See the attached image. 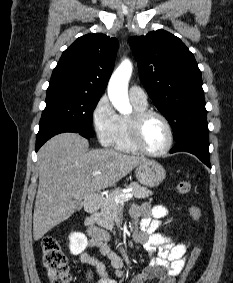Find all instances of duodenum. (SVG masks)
Segmentation results:
<instances>
[{
    "instance_id": "duodenum-1",
    "label": "duodenum",
    "mask_w": 233,
    "mask_h": 283,
    "mask_svg": "<svg viewBox=\"0 0 233 283\" xmlns=\"http://www.w3.org/2000/svg\"><path fill=\"white\" fill-rule=\"evenodd\" d=\"M101 200L96 196H89L85 201V211L87 213L85 224L89 228H95V215L100 209ZM135 241L139 242V235L135 236Z\"/></svg>"
}]
</instances>
